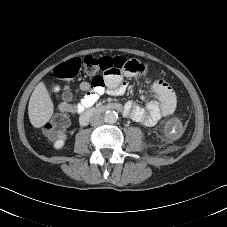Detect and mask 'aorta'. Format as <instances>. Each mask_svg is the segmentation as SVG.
<instances>
[{
  "mask_svg": "<svg viewBox=\"0 0 227 227\" xmlns=\"http://www.w3.org/2000/svg\"><path fill=\"white\" fill-rule=\"evenodd\" d=\"M118 114L115 111H107L104 115V121L106 123L113 124L117 121Z\"/></svg>",
  "mask_w": 227,
  "mask_h": 227,
  "instance_id": "obj_1",
  "label": "aorta"
}]
</instances>
